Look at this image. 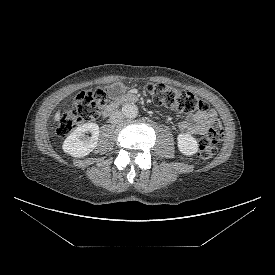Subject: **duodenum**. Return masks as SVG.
<instances>
[{
	"instance_id": "410a0bca",
	"label": "duodenum",
	"mask_w": 275,
	"mask_h": 275,
	"mask_svg": "<svg viewBox=\"0 0 275 275\" xmlns=\"http://www.w3.org/2000/svg\"><path fill=\"white\" fill-rule=\"evenodd\" d=\"M137 101V97L133 94H127L122 96L121 98H119L117 101L112 102L111 104H109L104 112H103V117H108L110 116L118 107L119 104L121 103H131V102H135Z\"/></svg>"
}]
</instances>
